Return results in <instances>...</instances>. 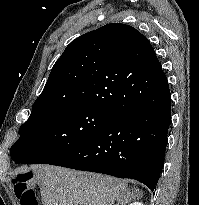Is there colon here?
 <instances>
[{
	"label": "colon",
	"instance_id": "colon-1",
	"mask_svg": "<svg viewBox=\"0 0 199 205\" xmlns=\"http://www.w3.org/2000/svg\"><path fill=\"white\" fill-rule=\"evenodd\" d=\"M32 176L28 173L13 179L14 193L21 205H38L33 189L30 187Z\"/></svg>",
	"mask_w": 199,
	"mask_h": 205
}]
</instances>
